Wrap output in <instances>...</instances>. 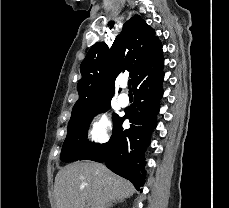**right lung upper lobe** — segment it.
<instances>
[{
	"instance_id": "1",
	"label": "right lung upper lobe",
	"mask_w": 229,
	"mask_h": 208,
	"mask_svg": "<svg viewBox=\"0 0 229 208\" xmlns=\"http://www.w3.org/2000/svg\"><path fill=\"white\" fill-rule=\"evenodd\" d=\"M162 45L155 31L140 16L128 20L111 48L95 43L80 66L81 80L77 90L72 118L90 113L99 104L111 101L115 92V79L129 72L133 89L164 64Z\"/></svg>"
}]
</instances>
